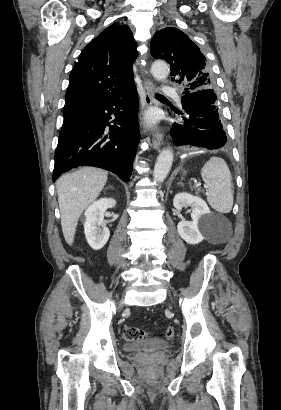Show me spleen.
<instances>
[{
    "instance_id": "1",
    "label": "spleen",
    "mask_w": 281,
    "mask_h": 410,
    "mask_svg": "<svg viewBox=\"0 0 281 410\" xmlns=\"http://www.w3.org/2000/svg\"><path fill=\"white\" fill-rule=\"evenodd\" d=\"M201 177L207 188V201L220 213H229L233 207L232 176L226 162L211 157L202 167Z\"/></svg>"
}]
</instances>
